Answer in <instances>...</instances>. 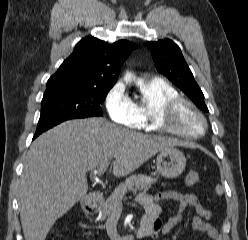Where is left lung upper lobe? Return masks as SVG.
Instances as JSON below:
<instances>
[{
    "instance_id": "obj_1",
    "label": "left lung upper lobe",
    "mask_w": 248,
    "mask_h": 240,
    "mask_svg": "<svg viewBox=\"0 0 248 240\" xmlns=\"http://www.w3.org/2000/svg\"><path fill=\"white\" fill-rule=\"evenodd\" d=\"M147 47L151 51L158 72L165 75L185 92L198 108L208 112V108L204 103V95L197 85L178 45L170 39H163L157 42L150 41L147 43Z\"/></svg>"
}]
</instances>
